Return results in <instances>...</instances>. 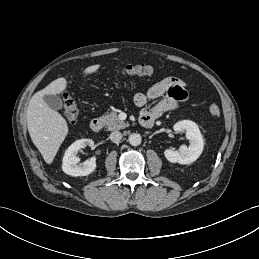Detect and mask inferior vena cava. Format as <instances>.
<instances>
[{"label":"inferior vena cava","mask_w":259,"mask_h":259,"mask_svg":"<svg viewBox=\"0 0 259 259\" xmlns=\"http://www.w3.org/2000/svg\"><path fill=\"white\" fill-rule=\"evenodd\" d=\"M122 139V133L119 131H114L110 134V140L112 142L118 143Z\"/></svg>","instance_id":"inferior-vena-cava-1"}]
</instances>
